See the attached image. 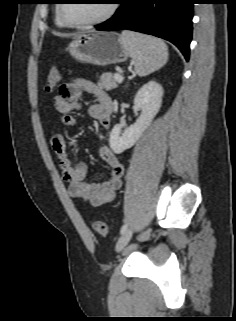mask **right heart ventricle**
<instances>
[{
  "label": "right heart ventricle",
  "mask_w": 236,
  "mask_h": 321,
  "mask_svg": "<svg viewBox=\"0 0 236 321\" xmlns=\"http://www.w3.org/2000/svg\"><path fill=\"white\" fill-rule=\"evenodd\" d=\"M55 23L58 27H65L66 25L62 22L58 15V11L56 10V15H55Z\"/></svg>",
  "instance_id": "e07e8e85"
}]
</instances>
